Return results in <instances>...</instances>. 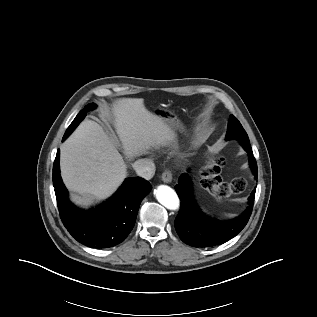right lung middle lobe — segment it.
<instances>
[{
  "label": "right lung middle lobe",
  "mask_w": 317,
  "mask_h": 317,
  "mask_svg": "<svg viewBox=\"0 0 317 317\" xmlns=\"http://www.w3.org/2000/svg\"><path fill=\"white\" fill-rule=\"evenodd\" d=\"M95 108V104L94 103H90L88 105H86L84 107L83 110H81L79 112V114L75 117V119L73 120V122L70 124V126L68 127V129L66 130L63 139L67 138L68 135L71 134V132L76 128V126L82 121V119L86 116L87 112L89 110H92Z\"/></svg>",
  "instance_id": "1"
}]
</instances>
